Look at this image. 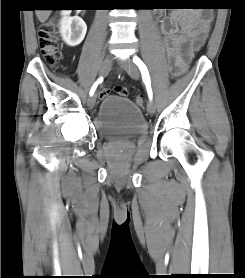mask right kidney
Instances as JSON below:
<instances>
[{"label":"right kidney","instance_id":"ca27d5eb","mask_svg":"<svg viewBox=\"0 0 245 278\" xmlns=\"http://www.w3.org/2000/svg\"><path fill=\"white\" fill-rule=\"evenodd\" d=\"M71 10L61 11L60 33L64 42L71 47L79 45L87 32V25L79 16H70Z\"/></svg>","mask_w":245,"mask_h":278}]
</instances>
